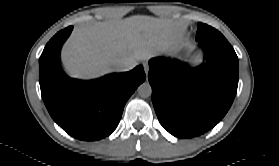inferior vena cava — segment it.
Here are the masks:
<instances>
[{"instance_id": "inferior-vena-cava-1", "label": "inferior vena cava", "mask_w": 279, "mask_h": 166, "mask_svg": "<svg viewBox=\"0 0 279 166\" xmlns=\"http://www.w3.org/2000/svg\"><path fill=\"white\" fill-rule=\"evenodd\" d=\"M136 65H137V62L131 61V62L123 63V64L120 66V68H121L122 71H128V70L133 69Z\"/></svg>"}]
</instances>
